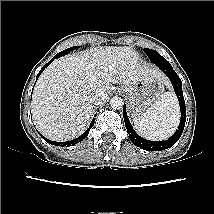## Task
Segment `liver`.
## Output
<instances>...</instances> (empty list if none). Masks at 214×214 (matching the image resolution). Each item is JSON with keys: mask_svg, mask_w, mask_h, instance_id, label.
<instances>
[{"mask_svg": "<svg viewBox=\"0 0 214 214\" xmlns=\"http://www.w3.org/2000/svg\"><path fill=\"white\" fill-rule=\"evenodd\" d=\"M163 80L162 73L142 63L130 47H94L52 62L39 77L32 97L33 122L53 141H68L82 134L93 104L89 94L114 90L113 84L133 85L143 80Z\"/></svg>", "mask_w": 214, "mask_h": 214, "instance_id": "1", "label": "liver"}]
</instances>
